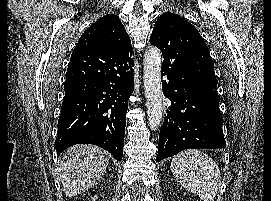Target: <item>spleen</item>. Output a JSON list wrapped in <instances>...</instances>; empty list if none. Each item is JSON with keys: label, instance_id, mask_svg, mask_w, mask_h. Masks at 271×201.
<instances>
[{"label": "spleen", "instance_id": "obj_1", "mask_svg": "<svg viewBox=\"0 0 271 201\" xmlns=\"http://www.w3.org/2000/svg\"><path fill=\"white\" fill-rule=\"evenodd\" d=\"M171 171L178 182L202 201H213L221 186V174L216 162L206 153L187 149L173 157Z\"/></svg>", "mask_w": 271, "mask_h": 201}]
</instances>
